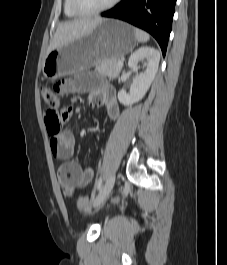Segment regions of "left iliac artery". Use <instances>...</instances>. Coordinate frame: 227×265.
I'll return each mask as SVG.
<instances>
[{
    "instance_id": "obj_1",
    "label": "left iliac artery",
    "mask_w": 227,
    "mask_h": 265,
    "mask_svg": "<svg viewBox=\"0 0 227 265\" xmlns=\"http://www.w3.org/2000/svg\"><path fill=\"white\" fill-rule=\"evenodd\" d=\"M101 186H102V176H100L98 182L96 183L95 189L98 191L100 190Z\"/></svg>"
}]
</instances>
